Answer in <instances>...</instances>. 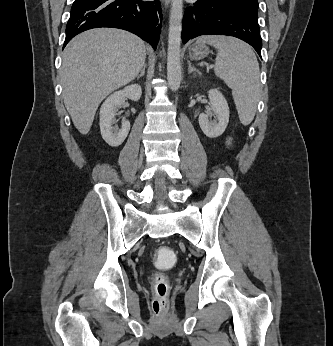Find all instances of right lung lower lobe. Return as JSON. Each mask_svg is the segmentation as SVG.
Instances as JSON below:
<instances>
[{"mask_svg":"<svg viewBox=\"0 0 333 346\" xmlns=\"http://www.w3.org/2000/svg\"><path fill=\"white\" fill-rule=\"evenodd\" d=\"M161 21L158 0H75L63 48L77 34L98 27L130 31L156 48Z\"/></svg>","mask_w":333,"mask_h":346,"instance_id":"98d812e1","label":"right lung lower lobe"}]
</instances>
